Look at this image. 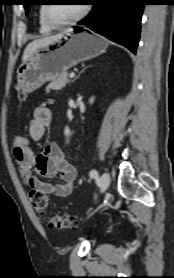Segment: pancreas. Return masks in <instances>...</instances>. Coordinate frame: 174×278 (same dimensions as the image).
Masks as SVG:
<instances>
[{"label": "pancreas", "instance_id": "cf45deb5", "mask_svg": "<svg viewBox=\"0 0 174 278\" xmlns=\"http://www.w3.org/2000/svg\"><path fill=\"white\" fill-rule=\"evenodd\" d=\"M69 83V79H68V74L67 73H63L60 76L54 78L46 87V92H50L51 90H60L63 87H65V85Z\"/></svg>", "mask_w": 174, "mask_h": 278}]
</instances>
